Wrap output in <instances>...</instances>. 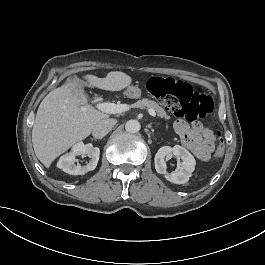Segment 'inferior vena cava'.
<instances>
[{"mask_svg":"<svg viewBox=\"0 0 265 265\" xmlns=\"http://www.w3.org/2000/svg\"><path fill=\"white\" fill-rule=\"evenodd\" d=\"M115 124H116L115 119H103L99 121L93 128L92 131L93 137L97 139H102L112 130Z\"/></svg>","mask_w":265,"mask_h":265,"instance_id":"inferior-vena-cava-1","label":"inferior vena cava"}]
</instances>
